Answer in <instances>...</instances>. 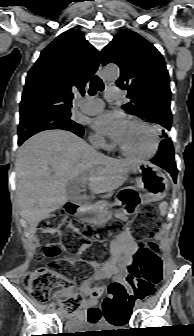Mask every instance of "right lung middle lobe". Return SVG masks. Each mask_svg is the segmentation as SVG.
<instances>
[{
    "instance_id": "dd1d6c3e",
    "label": "right lung middle lobe",
    "mask_w": 194,
    "mask_h": 336,
    "mask_svg": "<svg viewBox=\"0 0 194 336\" xmlns=\"http://www.w3.org/2000/svg\"><path fill=\"white\" fill-rule=\"evenodd\" d=\"M47 129H64L73 133H82V125L71 119L70 112L44 111L34 115L30 119L19 124V139H27L30 136Z\"/></svg>"
}]
</instances>
